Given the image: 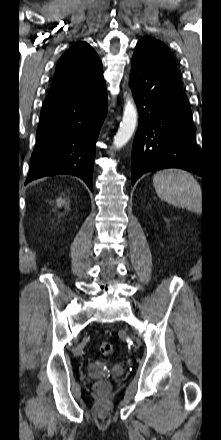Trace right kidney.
I'll return each mask as SVG.
<instances>
[{"label": "right kidney", "instance_id": "1", "mask_svg": "<svg viewBox=\"0 0 221 440\" xmlns=\"http://www.w3.org/2000/svg\"><path fill=\"white\" fill-rule=\"evenodd\" d=\"M57 204H58V206H61L62 204H64V200L61 199V198H59V199L57 200Z\"/></svg>", "mask_w": 221, "mask_h": 440}]
</instances>
